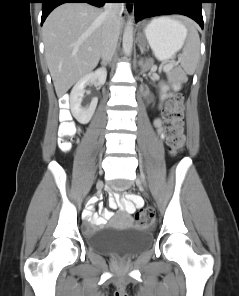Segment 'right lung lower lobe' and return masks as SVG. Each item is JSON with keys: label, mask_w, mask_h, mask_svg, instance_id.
Returning a JSON list of instances; mask_svg holds the SVG:
<instances>
[{"label": "right lung lower lobe", "mask_w": 239, "mask_h": 296, "mask_svg": "<svg viewBox=\"0 0 239 296\" xmlns=\"http://www.w3.org/2000/svg\"><path fill=\"white\" fill-rule=\"evenodd\" d=\"M113 1V0H40L42 3V17H41V25L45 21L48 14L57 6L63 3H89L91 5L101 7L105 3ZM121 1V0H118Z\"/></svg>", "instance_id": "98d812e1"}]
</instances>
